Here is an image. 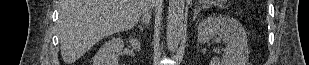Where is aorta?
<instances>
[{"label":"aorta","instance_id":"762f6f07","mask_svg":"<svg viewBox=\"0 0 309 65\" xmlns=\"http://www.w3.org/2000/svg\"><path fill=\"white\" fill-rule=\"evenodd\" d=\"M185 0H169L167 17V45L174 52L181 41L184 26Z\"/></svg>","mask_w":309,"mask_h":65}]
</instances>
